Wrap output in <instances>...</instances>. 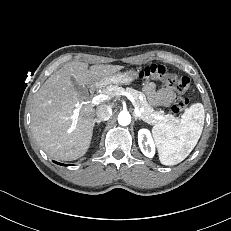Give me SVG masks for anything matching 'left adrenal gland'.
<instances>
[{
	"label": "left adrenal gland",
	"mask_w": 231,
	"mask_h": 231,
	"mask_svg": "<svg viewBox=\"0 0 231 231\" xmlns=\"http://www.w3.org/2000/svg\"><path fill=\"white\" fill-rule=\"evenodd\" d=\"M134 117H135V120L137 121V120H141L140 118H138L136 115H134Z\"/></svg>",
	"instance_id": "left-adrenal-gland-1"
}]
</instances>
